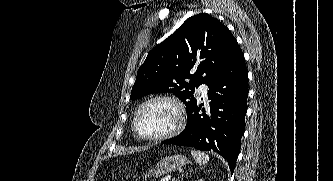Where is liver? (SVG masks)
<instances>
[{
	"instance_id": "6515ba94",
	"label": "liver",
	"mask_w": 333,
	"mask_h": 181,
	"mask_svg": "<svg viewBox=\"0 0 333 181\" xmlns=\"http://www.w3.org/2000/svg\"><path fill=\"white\" fill-rule=\"evenodd\" d=\"M132 152H134L133 150H131V151H129L128 153H132Z\"/></svg>"
}]
</instances>
